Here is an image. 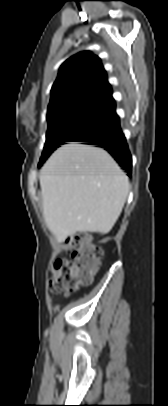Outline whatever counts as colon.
Returning a JSON list of instances; mask_svg holds the SVG:
<instances>
[{
    "label": "colon",
    "mask_w": 168,
    "mask_h": 406,
    "mask_svg": "<svg viewBox=\"0 0 168 406\" xmlns=\"http://www.w3.org/2000/svg\"><path fill=\"white\" fill-rule=\"evenodd\" d=\"M64 245L70 258L58 259L53 265L49 290L54 294L90 284L102 257V250L91 244L84 233L70 235Z\"/></svg>",
    "instance_id": "obj_1"
}]
</instances>
